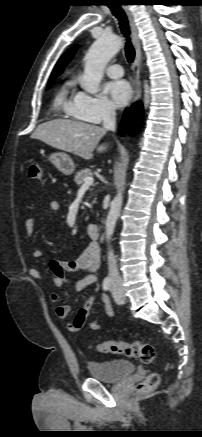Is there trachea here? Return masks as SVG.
Returning a JSON list of instances; mask_svg holds the SVG:
<instances>
[{"instance_id": "trachea-1", "label": "trachea", "mask_w": 202, "mask_h": 437, "mask_svg": "<svg viewBox=\"0 0 202 437\" xmlns=\"http://www.w3.org/2000/svg\"><path fill=\"white\" fill-rule=\"evenodd\" d=\"M110 10L112 11L113 15L118 19L120 29L122 34L127 38V42L125 45V55L127 58V61L129 63H132L135 58V50L132 46V43L129 39L130 31L128 26V20L124 13V11L117 5H109Z\"/></svg>"}]
</instances>
